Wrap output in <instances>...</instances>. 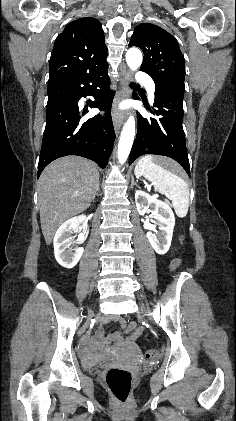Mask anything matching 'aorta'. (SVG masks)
Listing matches in <instances>:
<instances>
[{"label":"aorta","instance_id":"1","mask_svg":"<svg viewBox=\"0 0 236 421\" xmlns=\"http://www.w3.org/2000/svg\"><path fill=\"white\" fill-rule=\"evenodd\" d=\"M126 62L131 70H137L142 62L141 50H139V48H129L126 52ZM134 136L135 118L131 114L122 128L121 136L118 142L117 156L120 164H124V162H126L133 144Z\"/></svg>","mask_w":236,"mask_h":421}]
</instances>
